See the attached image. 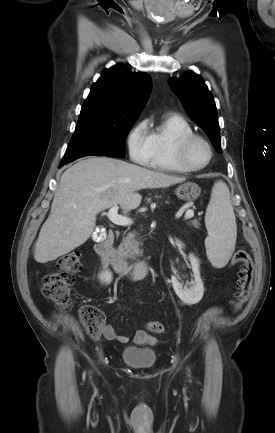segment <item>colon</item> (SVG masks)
I'll return each instance as SVG.
<instances>
[{"label":"colon","mask_w":275,"mask_h":433,"mask_svg":"<svg viewBox=\"0 0 275 433\" xmlns=\"http://www.w3.org/2000/svg\"><path fill=\"white\" fill-rule=\"evenodd\" d=\"M233 261L240 265V269L236 291L230 303L234 310H238L251 295L254 267L250 255L245 250L236 251ZM81 269L79 251H70L58 258L54 271L47 273L43 279L44 297L63 310L71 309V288ZM79 316L86 334L91 338L99 337L104 323L103 313L94 305L84 304L79 310ZM147 329L151 333H161L164 331V325L160 321H152L147 324Z\"/></svg>","instance_id":"obj_1"}]
</instances>
